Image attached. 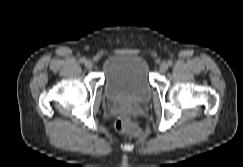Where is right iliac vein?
<instances>
[{"mask_svg": "<svg viewBox=\"0 0 243 167\" xmlns=\"http://www.w3.org/2000/svg\"><path fill=\"white\" fill-rule=\"evenodd\" d=\"M92 66H93V64H92V62H91L90 60L85 61V67H86L87 69H91Z\"/></svg>", "mask_w": 243, "mask_h": 167, "instance_id": "1", "label": "right iliac vein"}]
</instances>
